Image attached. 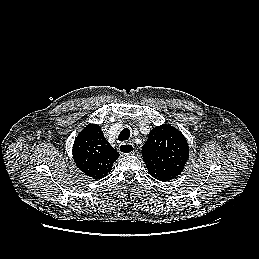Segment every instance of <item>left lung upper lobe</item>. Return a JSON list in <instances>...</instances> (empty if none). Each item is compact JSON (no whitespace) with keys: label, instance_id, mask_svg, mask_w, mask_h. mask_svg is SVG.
<instances>
[{"label":"left lung upper lobe","instance_id":"1","mask_svg":"<svg viewBox=\"0 0 259 259\" xmlns=\"http://www.w3.org/2000/svg\"><path fill=\"white\" fill-rule=\"evenodd\" d=\"M142 156L152 177L169 181L183 171L189 158V146L178 129L164 124L150 131Z\"/></svg>","mask_w":259,"mask_h":259}]
</instances>
